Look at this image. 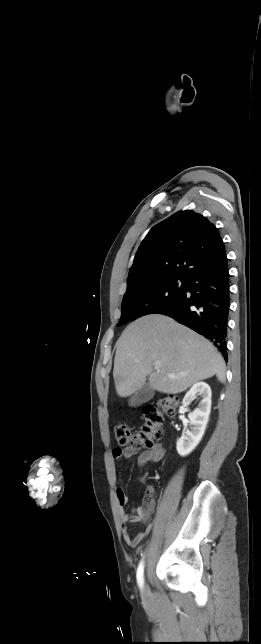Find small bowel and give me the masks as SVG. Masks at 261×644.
I'll use <instances>...</instances> for the list:
<instances>
[{
    "label": "small bowel",
    "mask_w": 261,
    "mask_h": 644,
    "mask_svg": "<svg viewBox=\"0 0 261 644\" xmlns=\"http://www.w3.org/2000/svg\"><path fill=\"white\" fill-rule=\"evenodd\" d=\"M165 454L164 448L156 444L153 447L141 451L139 448L134 446H128L125 448L115 447L112 449V457L115 460H120L122 458L129 459L138 455V466L143 467L150 462H159L163 459ZM147 493L153 494L154 488L150 485L147 486ZM116 496L119 504V513L121 526L123 531V538L125 542L132 546H138L144 538L150 533L153 528V523L147 519V512L143 507H137L130 511L125 510V505L128 502V497L122 487H118L116 491ZM144 523V529L137 533L134 536H131L128 532V525L133 523Z\"/></svg>",
    "instance_id": "1"
}]
</instances>
